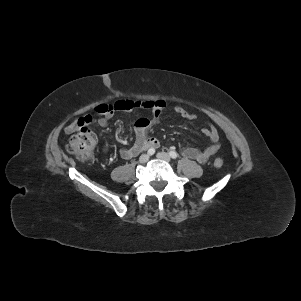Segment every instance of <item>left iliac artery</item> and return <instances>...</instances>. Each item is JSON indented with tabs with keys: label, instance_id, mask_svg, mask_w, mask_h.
Listing matches in <instances>:
<instances>
[{
	"label": "left iliac artery",
	"instance_id": "left-iliac-artery-1",
	"mask_svg": "<svg viewBox=\"0 0 301 301\" xmlns=\"http://www.w3.org/2000/svg\"><path fill=\"white\" fill-rule=\"evenodd\" d=\"M169 155H170V157L173 158V159H176V158L178 157V154H177V152H175V151H170V152H169Z\"/></svg>",
	"mask_w": 301,
	"mask_h": 301
}]
</instances>
